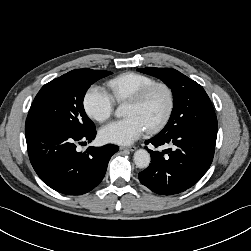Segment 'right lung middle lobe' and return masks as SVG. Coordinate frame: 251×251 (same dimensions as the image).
<instances>
[{"mask_svg":"<svg viewBox=\"0 0 251 251\" xmlns=\"http://www.w3.org/2000/svg\"><path fill=\"white\" fill-rule=\"evenodd\" d=\"M103 70L77 69L45 84L36 95L26 120H37L79 134L95 130L83 99L97 80L111 75Z\"/></svg>","mask_w":251,"mask_h":251,"instance_id":"right-lung-middle-lobe-1","label":"right lung middle lobe"}]
</instances>
